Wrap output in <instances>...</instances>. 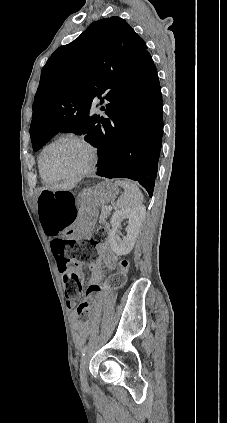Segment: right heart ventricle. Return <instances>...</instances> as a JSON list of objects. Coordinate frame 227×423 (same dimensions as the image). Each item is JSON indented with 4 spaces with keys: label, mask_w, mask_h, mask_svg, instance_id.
<instances>
[{
    "label": "right heart ventricle",
    "mask_w": 227,
    "mask_h": 423,
    "mask_svg": "<svg viewBox=\"0 0 227 423\" xmlns=\"http://www.w3.org/2000/svg\"><path fill=\"white\" fill-rule=\"evenodd\" d=\"M52 143V142H51ZM48 143L46 144L40 151L38 158H37V164H38V170H39V175L42 179V182L44 184H52L55 183L58 179L51 177L50 175H48L46 173V171L44 170L43 164H42V160H43V153L45 151V149L51 144Z\"/></svg>",
    "instance_id": "obj_1"
}]
</instances>
